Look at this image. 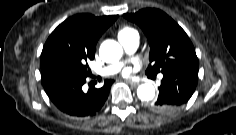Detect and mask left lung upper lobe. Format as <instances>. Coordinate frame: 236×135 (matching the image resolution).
<instances>
[{
    "label": "left lung upper lobe",
    "mask_w": 236,
    "mask_h": 135,
    "mask_svg": "<svg viewBox=\"0 0 236 135\" xmlns=\"http://www.w3.org/2000/svg\"><path fill=\"white\" fill-rule=\"evenodd\" d=\"M138 24L149 41L150 64L148 75L165 73L175 68L199 65L194 46L185 31L167 14L146 8L123 15Z\"/></svg>",
    "instance_id": "obj_1"
}]
</instances>
